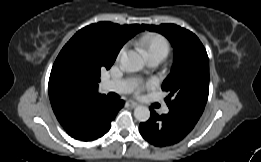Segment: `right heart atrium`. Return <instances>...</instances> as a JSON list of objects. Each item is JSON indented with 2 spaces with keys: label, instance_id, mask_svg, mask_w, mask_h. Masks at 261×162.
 <instances>
[{
  "label": "right heart atrium",
  "instance_id": "obj_1",
  "mask_svg": "<svg viewBox=\"0 0 261 162\" xmlns=\"http://www.w3.org/2000/svg\"><path fill=\"white\" fill-rule=\"evenodd\" d=\"M124 51H125V48H122V49L120 50V52H119V55H118V57H121V56H122V54L124 53Z\"/></svg>",
  "mask_w": 261,
  "mask_h": 162
}]
</instances>
